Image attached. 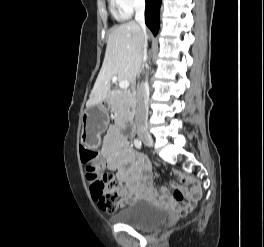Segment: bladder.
Segmentation results:
<instances>
[{
  "instance_id": "31cf9c89",
  "label": "bladder",
  "mask_w": 264,
  "mask_h": 247,
  "mask_svg": "<svg viewBox=\"0 0 264 247\" xmlns=\"http://www.w3.org/2000/svg\"><path fill=\"white\" fill-rule=\"evenodd\" d=\"M114 220L133 228L150 231L168 220L167 210L143 200H134L114 215Z\"/></svg>"
}]
</instances>
